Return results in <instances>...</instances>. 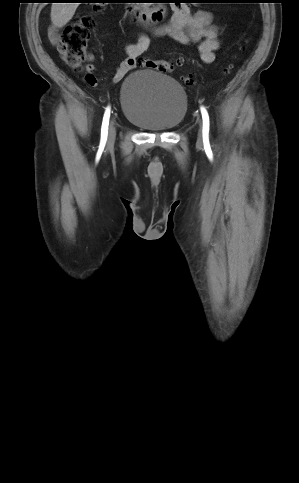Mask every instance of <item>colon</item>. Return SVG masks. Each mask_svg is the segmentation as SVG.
<instances>
[{"label": "colon", "mask_w": 299, "mask_h": 483, "mask_svg": "<svg viewBox=\"0 0 299 483\" xmlns=\"http://www.w3.org/2000/svg\"><path fill=\"white\" fill-rule=\"evenodd\" d=\"M94 24L95 22L92 17L88 15L81 16L68 24L61 36L58 50L64 63L75 71L81 70L85 63L88 41ZM140 64L144 68L169 73L176 66H180L182 62L180 60L172 62L169 60L142 58ZM85 82L88 85H95L97 79L92 73L88 72L85 76ZM185 82L188 85H192L194 80L190 76H187L185 77Z\"/></svg>", "instance_id": "1"}]
</instances>
